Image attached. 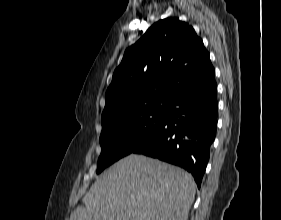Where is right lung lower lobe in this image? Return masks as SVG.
Wrapping results in <instances>:
<instances>
[{"label":"right lung lower lobe","mask_w":281,"mask_h":220,"mask_svg":"<svg viewBox=\"0 0 281 220\" xmlns=\"http://www.w3.org/2000/svg\"><path fill=\"white\" fill-rule=\"evenodd\" d=\"M217 84L185 94L167 109L153 137L132 153L144 154L190 172L200 188L217 126Z\"/></svg>","instance_id":"98d812e1"}]
</instances>
